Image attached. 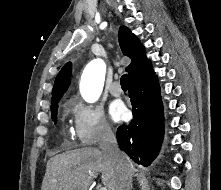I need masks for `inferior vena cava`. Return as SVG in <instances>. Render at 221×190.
Instances as JSON below:
<instances>
[{
  "instance_id": "602c4592",
  "label": "inferior vena cava",
  "mask_w": 221,
  "mask_h": 190,
  "mask_svg": "<svg viewBox=\"0 0 221 190\" xmlns=\"http://www.w3.org/2000/svg\"><path fill=\"white\" fill-rule=\"evenodd\" d=\"M99 147L101 151L113 162L118 170L119 179L115 190H131L132 174L130 164L127 161L124 153L120 151L116 137L110 127H105L103 129Z\"/></svg>"
}]
</instances>
